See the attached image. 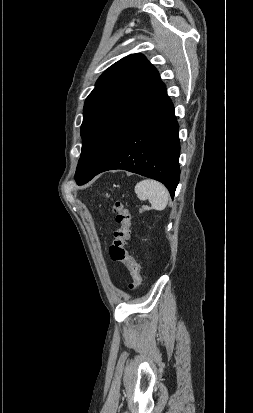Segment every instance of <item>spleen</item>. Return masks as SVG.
I'll use <instances>...</instances> for the list:
<instances>
[{
	"mask_svg": "<svg viewBox=\"0 0 253 413\" xmlns=\"http://www.w3.org/2000/svg\"><path fill=\"white\" fill-rule=\"evenodd\" d=\"M135 193L140 200H148L152 209L162 211L168 204V190L155 180L146 179L138 182L135 186Z\"/></svg>",
	"mask_w": 253,
	"mask_h": 413,
	"instance_id": "1",
	"label": "spleen"
}]
</instances>
